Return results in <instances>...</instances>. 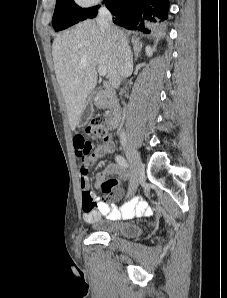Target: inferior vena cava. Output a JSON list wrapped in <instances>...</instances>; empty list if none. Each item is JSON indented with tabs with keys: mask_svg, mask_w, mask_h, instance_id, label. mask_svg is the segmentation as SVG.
<instances>
[{
	"mask_svg": "<svg viewBox=\"0 0 227 298\" xmlns=\"http://www.w3.org/2000/svg\"><path fill=\"white\" fill-rule=\"evenodd\" d=\"M96 21L99 28L109 34L114 41L117 71L121 79H125L133 70V58L130 47L126 39L113 26L112 15L105 6L99 9ZM120 137L122 139L125 138L124 131L121 132Z\"/></svg>",
	"mask_w": 227,
	"mask_h": 298,
	"instance_id": "obj_1",
	"label": "inferior vena cava"
}]
</instances>
